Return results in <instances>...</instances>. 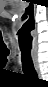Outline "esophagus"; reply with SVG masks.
<instances>
[{
	"label": "esophagus",
	"mask_w": 48,
	"mask_h": 87,
	"mask_svg": "<svg viewBox=\"0 0 48 87\" xmlns=\"http://www.w3.org/2000/svg\"><path fill=\"white\" fill-rule=\"evenodd\" d=\"M31 55H32V60H33V64H34L35 70H36L38 76H40V69H39V63H38V55H37L36 52H32Z\"/></svg>",
	"instance_id": "esophagus-1"
}]
</instances>
